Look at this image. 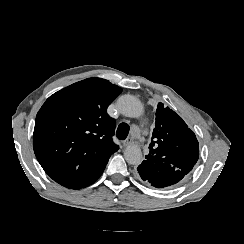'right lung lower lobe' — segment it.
<instances>
[{
    "mask_svg": "<svg viewBox=\"0 0 244 244\" xmlns=\"http://www.w3.org/2000/svg\"><path fill=\"white\" fill-rule=\"evenodd\" d=\"M108 160L105 161L102 165H100L96 171L93 172V175L83 179L79 176H73L70 178L63 179L59 181L58 183L67 187V188H72V189H79V188H84L89 186L90 184L94 183L103 173L104 168L107 164Z\"/></svg>",
    "mask_w": 244,
    "mask_h": 244,
    "instance_id": "98d812e1",
    "label": "right lung lower lobe"
}]
</instances>
